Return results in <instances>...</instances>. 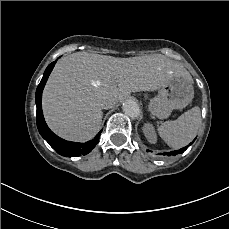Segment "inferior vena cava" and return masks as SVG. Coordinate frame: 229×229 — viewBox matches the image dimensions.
<instances>
[{
    "label": "inferior vena cava",
    "instance_id": "602c4592",
    "mask_svg": "<svg viewBox=\"0 0 229 229\" xmlns=\"http://www.w3.org/2000/svg\"><path fill=\"white\" fill-rule=\"evenodd\" d=\"M102 108L103 109H109V108H111V106L108 104V102L106 101V102H104V103H102Z\"/></svg>",
    "mask_w": 229,
    "mask_h": 229
}]
</instances>
